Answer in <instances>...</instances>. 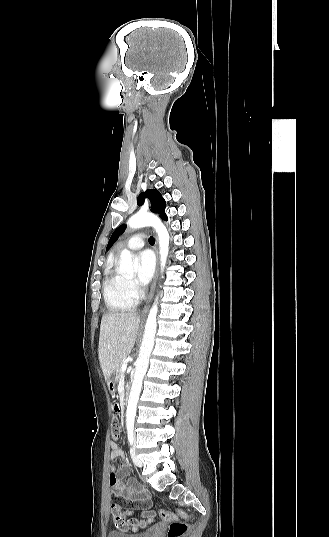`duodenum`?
Listing matches in <instances>:
<instances>
[{
	"instance_id": "obj_1",
	"label": "duodenum",
	"mask_w": 329,
	"mask_h": 537,
	"mask_svg": "<svg viewBox=\"0 0 329 537\" xmlns=\"http://www.w3.org/2000/svg\"><path fill=\"white\" fill-rule=\"evenodd\" d=\"M128 398H129V391H127V392L125 393V396H124V400H125V402L128 401Z\"/></svg>"
}]
</instances>
